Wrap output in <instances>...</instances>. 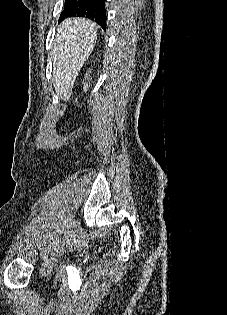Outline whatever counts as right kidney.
Returning <instances> with one entry per match:
<instances>
[{
  "instance_id": "ca27d5eb",
  "label": "right kidney",
  "mask_w": 227,
  "mask_h": 315,
  "mask_svg": "<svg viewBox=\"0 0 227 315\" xmlns=\"http://www.w3.org/2000/svg\"><path fill=\"white\" fill-rule=\"evenodd\" d=\"M88 84H84V91H87Z\"/></svg>"
}]
</instances>
